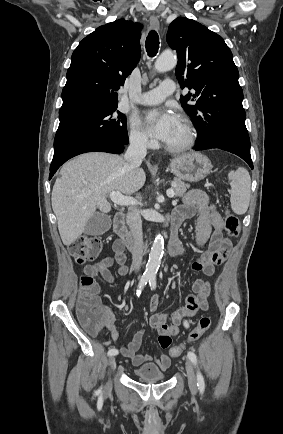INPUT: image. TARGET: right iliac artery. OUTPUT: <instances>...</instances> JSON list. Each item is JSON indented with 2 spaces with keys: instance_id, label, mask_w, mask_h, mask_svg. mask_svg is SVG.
Masks as SVG:
<instances>
[{
  "instance_id": "82829eb1",
  "label": "right iliac artery",
  "mask_w": 283,
  "mask_h": 434,
  "mask_svg": "<svg viewBox=\"0 0 283 434\" xmlns=\"http://www.w3.org/2000/svg\"><path fill=\"white\" fill-rule=\"evenodd\" d=\"M149 280L148 276H142L140 279V282L138 284V289H137V296H140L142 289L144 288V286L147 284ZM118 354V350L115 348H111L108 351V356H114ZM99 393H101V389L98 390Z\"/></svg>"
}]
</instances>
